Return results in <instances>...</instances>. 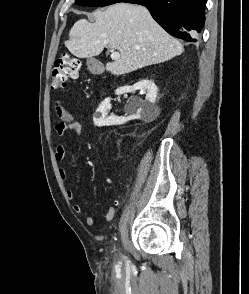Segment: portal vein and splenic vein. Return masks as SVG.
Segmentation results:
<instances>
[{
  "instance_id": "18ae733b",
  "label": "portal vein and splenic vein",
  "mask_w": 249,
  "mask_h": 294,
  "mask_svg": "<svg viewBox=\"0 0 249 294\" xmlns=\"http://www.w3.org/2000/svg\"><path fill=\"white\" fill-rule=\"evenodd\" d=\"M120 58V53L114 50H111V59L116 60Z\"/></svg>"
}]
</instances>
